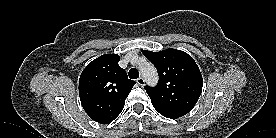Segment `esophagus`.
Segmentation results:
<instances>
[{
	"instance_id": "34e87169",
	"label": "esophagus",
	"mask_w": 276,
	"mask_h": 138,
	"mask_svg": "<svg viewBox=\"0 0 276 138\" xmlns=\"http://www.w3.org/2000/svg\"><path fill=\"white\" fill-rule=\"evenodd\" d=\"M137 84L140 85V86H144V84H145L144 78L143 77H139L137 79Z\"/></svg>"
}]
</instances>
